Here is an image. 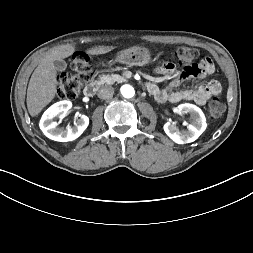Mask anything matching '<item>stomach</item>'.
Instances as JSON below:
<instances>
[{
    "label": "stomach",
    "mask_w": 253,
    "mask_h": 253,
    "mask_svg": "<svg viewBox=\"0 0 253 253\" xmlns=\"http://www.w3.org/2000/svg\"><path fill=\"white\" fill-rule=\"evenodd\" d=\"M151 60L148 49L140 46H133L121 50L116 55V61L130 66H144Z\"/></svg>",
    "instance_id": "obj_1"
}]
</instances>
